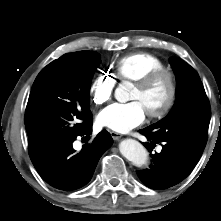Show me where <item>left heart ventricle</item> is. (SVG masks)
I'll use <instances>...</instances> for the list:
<instances>
[{
  "instance_id": "obj_1",
  "label": "left heart ventricle",
  "mask_w": 221,
  "mask_h": 221,
  "mask_svg": "<svg viewBox=\"0 0 221 221\" xmlns=\"http://www.w3.org/2000/svg\"><path fill=\"white\" fill-rule=\"evenodd\" d=\"M169 93L166 79L162 78L146 89L134 86L131 99L142 103L146 112L160 109L165 103Z\"/></svg>"
}]
</instances>
